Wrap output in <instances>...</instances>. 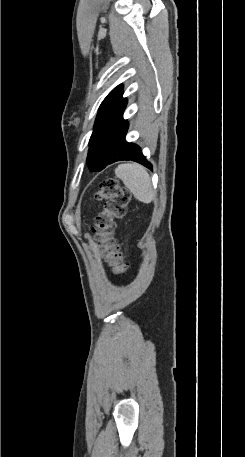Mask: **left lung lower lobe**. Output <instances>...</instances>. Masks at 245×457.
<instances>
[{"label":"left lung lower lobe","instance_id":"0a47b994","mask_svg":"<svg viewBox=\"0 0 245 457\" xmlns=\"http://www.w3.org/2000/svg\"><path fill=\"white\" fill-rule=\"evenodd\" d=\"M127 130L128 122L122 115L111 123L94 128L86 160L91 171H101L108 164L120 160H132L152 169L140 147L125 140Z\"/></svg>","mask_w":245,"mask_h":457}]
</instances>
